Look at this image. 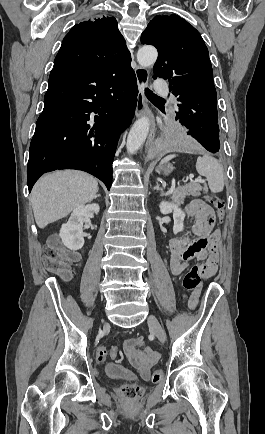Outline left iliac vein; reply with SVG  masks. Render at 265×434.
<instances>
[{
  "label": "left iliac vein",
  "instance_id": "left-iliac-vein-1",
  "mask_svg": "<svg viewBox=\"0 0 265 434\" xmlns=\"http://www.w3.org/2000/svg\"><path fill=\"white\" fill-rule=\"evenodd\" d=\"M148 325L152 329L153 333L156 335L157 339L160 342L165 343L166 342V335L164 333V330L161 327V325H160L158 319L156 318V316H154L153 314H151L148 317Z\"/></svg>",
  "mask_w": 265,
  "mask_h": 434
}]
</instances>
